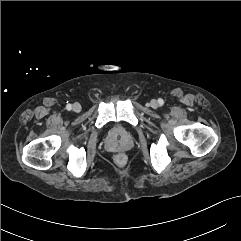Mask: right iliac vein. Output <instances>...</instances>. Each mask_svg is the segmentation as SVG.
I'll list each match as a JSON object with an SVG mask.
<instances>
[{
    "instance_id": "right-iliac-vein-1",
    "label": "right iliac vein",
    "mask_w": 241,
    "mask_h": 241,
    "mask_svg": "<svg viewBox=\"0 0 241 241\" xmlns=\"http://www.w3.org/2000/svg\"><path fill=\"white\" fill-rule=\"evenodd\" d=\"M72 110L76 113H79L81 111V105L79 103H74L72 106Z\"/></svg>"
}]
</instances>
